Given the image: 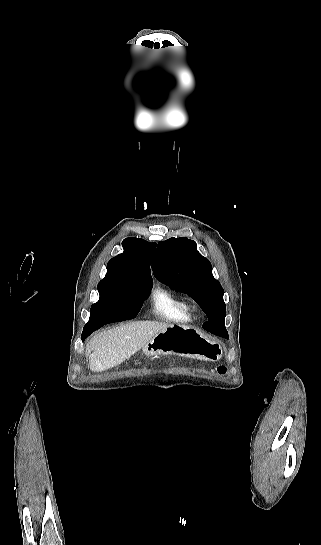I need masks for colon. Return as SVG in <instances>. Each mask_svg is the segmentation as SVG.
Here are the masks:
<instances>
[{"label": "colon", "mask_w": 321, "mask_h": 545, "mask_svg": "<svg viewBox=\"0 0 321 545\" xmlns=\"http://www.w3.org/2000/svg\"><path fill=\"white\" fill-rule=\"evenodd\" d=\"M215 373L218 374H225L226 373V367L225 366H217L213 369Z\"/></svg>", "instance_id": "colon-1"}]
</instances>
